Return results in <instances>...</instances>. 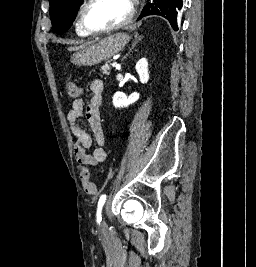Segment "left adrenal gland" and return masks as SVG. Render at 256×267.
I'll return each instance as SVG.
<instances>
[{
    "label": "left adrenal gland",
    "instance_id": "left-adrenal-gland-1",
    "mask_svg": "<svg viewBox=\"0 0 256 267\" xmlns=\"http://www.w3.org/2000/svg\"><path fill=\"white\" fill-rule=\"evenodd\" d=\"M142 38L141 36H139V34H135L134 36V42L128 52V54H126V56H129V54H131L132 50H134V48H136L137 44H139V42H141ZM126 56H124V58H126ZM123 58V60H124Z\"/></svg>",
    "mask_w": 256,
    "mask_h": 267
}]
</instances>
